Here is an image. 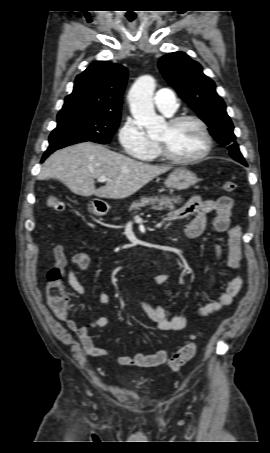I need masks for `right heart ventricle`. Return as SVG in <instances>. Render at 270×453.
I'll list each match as a JSON object with an SVG mask.
<instances>
[{
  "mask_svg": "<svg viewBox=\"0 0 270 453\" xmlns=\"http://www.w3.org/2000/svg\"><path fill=\"white\" fill-rule=\"evenodd\" d=\"M159 158H160L159 149H158L157 144L154 143V147L151 150V152L148 155L144 156L142 158V160H144V161H155V160H158Z\"/></svg>",
  "mask_w": 270,
  "mask_h": 453,
  "instance_id": "obj_1",
  "label": "right heart ventricle"
}]
</instances>
